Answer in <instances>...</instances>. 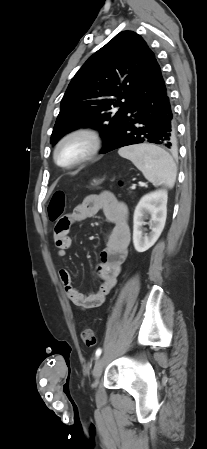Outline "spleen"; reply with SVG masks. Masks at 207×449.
Listing matches in <instances>:
<instances>
[{"label": "spleen", "mask_w": 207, "mask_h": 449, "mask_svg": "<svg viewBox=\"0 0 207 449\" xmlns=\"http://www.w3.org/2000/svg\"><path fill=\"white\" fill-rule=\"evenodd\" d=\"M123 158L129 159L154 186L173 188L177 167L173 158L164 149L153 144H138L123 147L118 151Z\"/></svg>", "instance_id": "spleen-1"}]
</instances>
